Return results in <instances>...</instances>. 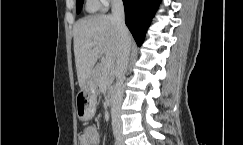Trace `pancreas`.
<instances>
[{
	"mask_svg": "<svg viewBox=\"0 0 243 145\" xmlns=\"http://www.w3.org/2000/svg\"><path fill=\"white\" fill-rule=\"evenodd\" d=\"M114 69V64L107 66L105 62H101L95 70V81L109 89L114 81Z\"/></svg>",
	"mask_w": 243,
	"mask_h": 145,
	"instance_id": "1",
	"label": "pancreas"
}]
</instances>
